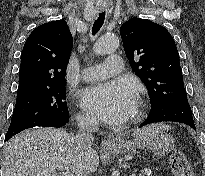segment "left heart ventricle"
<instances>
[{
    "instance_id": "1",
    "label": "left heart ventricle",
    "mask_w": 205,
    "mask_h": 176,
    "mask_svg": "<svg viewBox=\"0 0 205 176\" xmlns=\"http://www.w3.org/2000/svg\"><path fill=\"white\" fill-rule=\"evenodd\" d=\"M135 110H136V106H135V108H134V110H133V112L131 114H133Z\"/></svg>"
}]
</instances>
